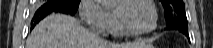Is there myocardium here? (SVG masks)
I'll return each mask as SVG.
<instances>
[{"mask_svg": "<svg viewBox=\"0 0 213 48\" xmlns=\"http://www.w3.org/2000/svg\"><path fill=\"white\" fill-rule=\"evenodd\" d=\"M135 1H141V2H144L146 3L147 5H149V7L151 8L152 10V13H153V22H152V26L145 30V31H137V30H134L132 28H130L124 21L122 15L117 12V11H114V14L116 16V19H117V22L120 26V28L122 29V31L126 34V35H130V36H144V35H147V34H150L152 33L154 30H156L157 26H158V11H157V8L154 4L153 1L151 0H123L121 1L123 4H128V3H132V2H135Z\"/></svg>", "mask_w": 213, "mask_h": 48, "instance_id": "f54148a6", "label": "myocardium"}]
</instances>
